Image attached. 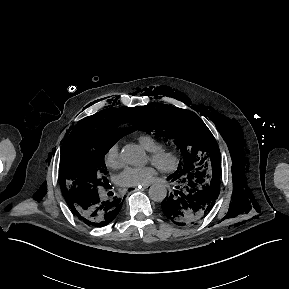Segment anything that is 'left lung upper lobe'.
I'll return each instance as SVG.
<instances>
[{
  "mask_svg": "<svg viewBox=\"0 0 289 289\" xmlns=\"http://www.w3.org/2000/svg\"><path fill=\"white\" fill-rule=\"evenodd\" d=\"M136 110L139 129L172 139L182 151L184 161L169 178L179 179L195 173L206 178L221 174L218 144L194 112L161 103H150Z\"/></svg>",
  "mask_w": 289,
  "mask_h": 289,
  "instance_id": "5c2ea615",
  "label": "left lung upper lobe"
}]
</instances>
